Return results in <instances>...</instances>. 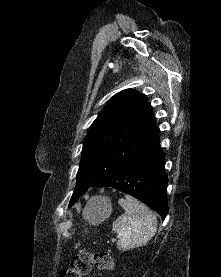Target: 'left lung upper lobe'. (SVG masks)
Masks as SVG:
<instances>
[{
    "mask_svg": "<svg viewBox=\"0 0 221 277\" xmlns=\"http://www.w3.org/2000/svg\"><path fill=\"white\" fill-rule=\"evenodd\" d=\"M151 108L146 96L132 89L108 101L85 137L71 199L80 197L159 134Z\"/></svg>",
    "mask_w": 221,
    "mask_h": 277,
    "instance_id": "obj_1",
    "label": "left lung upper lobe"
}]
</instances>
